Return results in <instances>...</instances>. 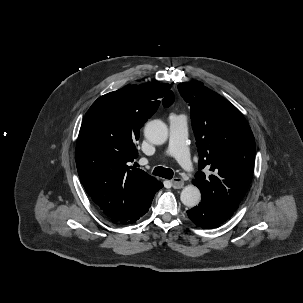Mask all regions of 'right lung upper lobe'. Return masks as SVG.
Returning <instances> with one entry per match:
<instances>
[{
	"mask_svg": "<svg viewBox=\"0 0 303 303\" xmlns=\"http://www.w3.org/2000/svg\"><path fill=\"white\" fill-rule=\"evenodd\" d=\"M174 101L170 85H131L99 97L80 128L75 160L87 194L110 218L134 208L159 183L129 166L137 157L136 140L143 124Z\"/></svg>",
	"mask_w": 303,
	"mask_h": 303,
	"instance_id": "obj_1",
	"label": "right lung upper lobe"
}]
</instances>
